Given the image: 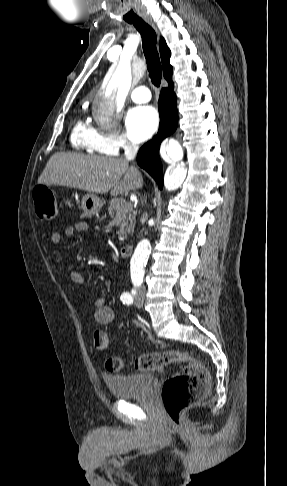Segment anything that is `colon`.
Instances as JSON below:
<instances>
[{
    "label": "colon",
    "mask_w": 287,
    "mask_h": 486,
    "mask_svg": "<svg viewBox=\"0 0 287 486\" xmlns=\"http://www.w3.org/2000/svg\"><path fill=\"white\" fill-rule=\"evenodd\" d=\"M33 200L37 215L43 220H52L58 212V205L53 191L38 185L33 190ZM94 347L99 351L109 348L108 336L103 331H95ZM173 363H183L181 373L167 378L161 388L164 412L168 420L178 424L181 411L199 400L209 389L210 378L206 368L188 353L178 350L146 353L137 356L132 366L138 371L158 370ZM125 362L120 357H108L105 368L111 372H120Z\"/></svg>",
    "instance_id": "obj_1"
}]
</instances>
